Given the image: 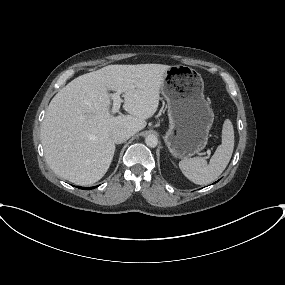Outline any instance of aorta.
Wrapping results in <instances>:
<instances>
[{"label": "aorta", "mask_w": 285, "mask_h": 285, "mask_svg": "<svg viewBox=\"0 0 285 285\" xmlns=\"http://www.w3.org/2000/svg\"><path fill=\"white\" fill-rule=\"evenodd\" d=\"M145 143L148 147H156L158 144V138L157 136L150 134L145 138Z\"/></svg>", "instance_id": "obj_1"}]
</instances>
